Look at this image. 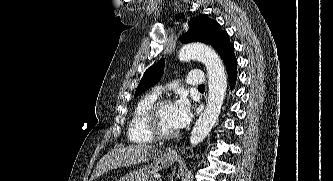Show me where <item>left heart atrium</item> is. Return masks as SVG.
<instances>
[{"instance_id": "1", "label": "left heart atrium", "mask_w": 333, "mask_h": 181, "mask_svg": "<svg viewBox=\"0 0 333 181\" xmlns=\"http://www.w3.org/2000/svg\"><path fill=\"white\" fill-rule=\"evenodd\" d=\"M172 117L177 129L189 124L192 118V109L186 98H180L172 104Z\"/></svg>"}]
</instances>
